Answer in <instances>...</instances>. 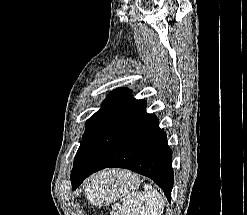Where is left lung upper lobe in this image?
<instances>
[{"label": "left lung upper lobe", "instance_id": "5c2ea615", "mask_svg": "<svg viewBox=\"0 0 247 215\" xmlns=\"http://www.w3.org/2000/svg\"><path fill=\"white\" fill-rule=\"evenodd\" d=\"M130 96L131 90L125 88L112 91L103 101V107L87 120L82 143L97 139L107 131L136 101Z\"/></svg>", "mask_w": 247, "mask_h": 215}]
</instances>
